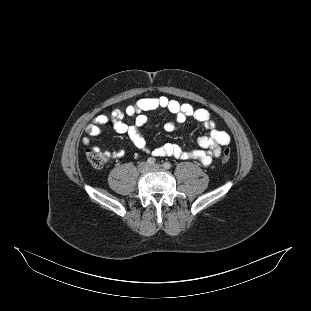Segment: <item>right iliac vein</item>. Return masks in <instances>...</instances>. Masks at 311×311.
<instances>
[{"mask_svg": "<svg viewBox=\"0 0 311 311\" xmlns=\"http://www.w3.org/2000/svg\"><path fill=\"white\" fill-rule=\"evenodd\" d=\"M148 168H149V165L146 162H142L138 166V169L140 172H146Z\"/></svg>", "mask_w": 311, "mask_h": 311, "instance_id": "1", "label": "right iliac vein"}]
</instances>
